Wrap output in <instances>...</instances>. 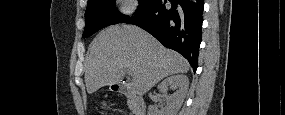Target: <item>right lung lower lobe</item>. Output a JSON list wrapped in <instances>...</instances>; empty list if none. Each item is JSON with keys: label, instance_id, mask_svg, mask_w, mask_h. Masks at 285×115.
<instances>
[{"label": "right lung lower lobe", "instance_id": "98d812e1", "mask_svg": "<svg viewBox=\"0 0 285 115\" xmlns=\"http://www.w3.org/2000/svg\"><path fill=\"white\" fill-rule=\"evenodd\" d=\"M155 0L122 23L137 25L165 47L183 55L197 69L203 22V0Z\"/></svg>", "mask_w": 285, "mask_h": 115}]
</instances>
